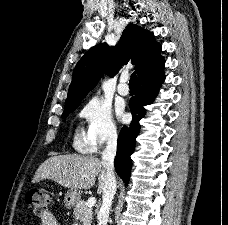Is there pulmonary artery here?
I'll use <instances>...</instances> for the list:
<instances>
[{
	"instance_id": "1",
	"label": "pulmonary artery",
	"mask_w": 228,
	"mask_h": 225,
	"mask_svg": "<svg viewBox=\"0 0 228 225\" xmlns=\"http://www.w3.org/2000/svg\"><path fill=\"white\" fill-rule=\"evenodd\" d=\"M117 91L121 96H127L129 94V87L126 83V78H123L117 87Z\"/></svg>"
}]
</instances>
